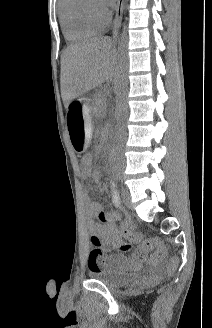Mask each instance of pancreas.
Wrapping results in <instances>:
<instances>
[{"label": "pancreas", "mask_w": 212, "mask_h": 328, "mask_svg": "<svg viewBox=\"0 0 212 328\" xmlns=\"http://www.w3.org/2000/svg\"><path fill=\"white\" fill-rule=\"evenodd\" d=\"M95 111L102 114H104L106 111V100L103 92H100L96 98Z\"/></svg>", "instance_id": "cf45deb5"}]
</instances>
